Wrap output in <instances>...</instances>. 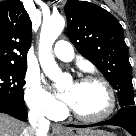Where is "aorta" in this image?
I'll return each mask as SVG.
<instances>
[{"label": "aorta", "mask_w": 136, "mask_h": 136, "mask_svg": "<svg viewBox=\"0 0 136 136\" xmlns=\"http://www.w3.org/2000/svg\"><path fill=\"white\" fill-rule=\"evenodd\" d=\"M65 26L61 15L50 16L43 20L39 41V62L48 78L56 83L59 91H63L70 77L65 76L55 62L52 46Z\"/></svg>", "instance_id": "1"}]
</instances>
